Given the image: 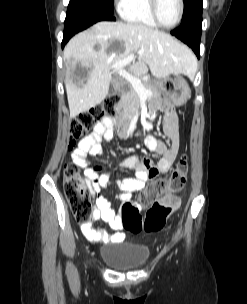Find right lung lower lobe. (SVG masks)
<instances>
[{
  "mask_svg": "<svg viewBox=\"0 0 247 304\" xmlns=\"http://www.w3.org/2000/svg\"><path fill=\"white\" fill-rule=\"evenodd\" d=\"M115 21L112 14H108L98 10H83L80 8H70L65 19L64 36L62 41V48L68 40L76 33L88 28L99 21Z\"/></svg>",
  "mask_w": 247,
  "mask_h": 304,
  "instance_id": "right-lung-lower-lobe-1",
  "label": "right lung lower lobe"
}]
</instances>
